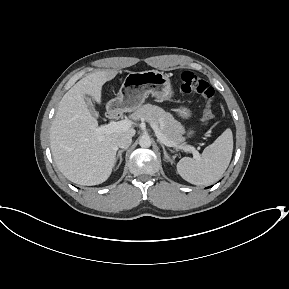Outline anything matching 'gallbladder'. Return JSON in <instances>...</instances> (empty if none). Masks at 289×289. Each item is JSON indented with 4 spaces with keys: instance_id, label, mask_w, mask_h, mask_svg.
<instances>
[{
    "instance_id": "gallbladder-1",
    "label": "gallbladder",
    "mask_w": 289,
    "mask_h": 289,
    "mask_svg": "<svg viewBox=\"0 0 289 289\" xmlns=\"http://www.w3.org/2000/svg\"><path fill=\"white\" fill-rule=\"evenodd\" d=\"M85 101H86V103H87V106H88L89 111H90L94 116H97V113H96V111H95V107H94V105H93V103H92V101H91V98H90L89 96H86V95H85Z\"/></svg>"
}]
</instances>
